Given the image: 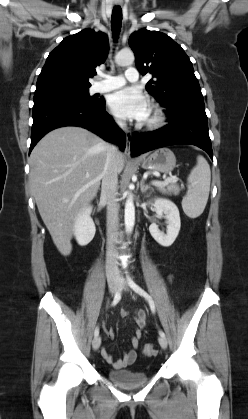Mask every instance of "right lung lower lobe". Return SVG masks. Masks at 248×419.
<instances>
[{"label":"right lung lower lobe","instance_id":"obj_1","mask_svg":"<svg viewBox=\"0 0 248 419\" xmlns=\"http://www.w3.org/2000/svg\"><path fill=\"white\" fill-rule=\"evenodd\" d=\"M63 126L86 128L107 141H118L122 150L125 148V134L105 111L104 99L90 104L68 98H46L34 101L30 152L46 133Z\"/></svg>","mask_w":248,"mask_h":419}]
</instances>
